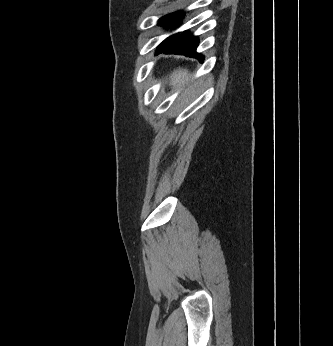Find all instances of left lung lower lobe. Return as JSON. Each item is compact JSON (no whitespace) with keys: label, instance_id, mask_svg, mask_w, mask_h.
Segmentation results:
<instances>
[{"label":"left lung lower lobe","instance_id":"1","mask_svg":"<svg viewBox=\"0 0 333 346\" xmlns=\"http://www.w3.org/2000/svg\"><path fill=\"white\" fill-rule=\"evenodd\" d=\"M199 40L193 36L189 31L178 33L172 38L165 40L158 47V53L164 52L166 54H180L198 58L201 62L204 56L196 52Z\"/></svg>","mask_w":333,"mask_h":346}]
</instances>
